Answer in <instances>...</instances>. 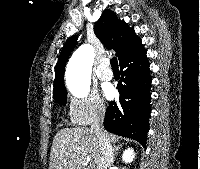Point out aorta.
<instances>
[{
	"instance_id": "aorta-1",
	"label": "aorta",
	"mask_w": 200,
	"mask_h": 169,
	"mask_svg": "<svg viewBox=\"0 0 200 169\" xmlns=\"http://www.w3.org/2000/svg\"><path fill=\"white\" fill-rule=\"evenodd\" d=\"M94 49L89 44L81 45L71 56L66 68V82L72 94L84 97L91 84Z\"/></svg>"
}]
</instances>
